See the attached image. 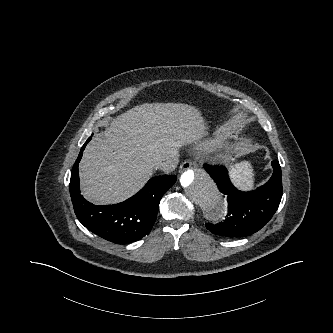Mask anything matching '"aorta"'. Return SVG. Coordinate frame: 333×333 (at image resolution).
Wrapping results in <instances>:
<instances>
[{"mask_svg": "<svg viewBox=\"0 0 333 333\" xmlns=\"http://www.w3.org/2000/svg\"><path fill=\"white\" fill-rule=\"evenodd\" d=\"M180 186L195 207L211 222H219L226 213L223 194L203 169H188L179 179Z\"/></svg>", "mask_w": 333, "mask_h": 333, "instance_id": "obj_1", "label": "aorta"}]
</instances>
